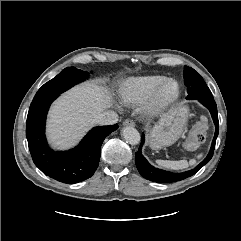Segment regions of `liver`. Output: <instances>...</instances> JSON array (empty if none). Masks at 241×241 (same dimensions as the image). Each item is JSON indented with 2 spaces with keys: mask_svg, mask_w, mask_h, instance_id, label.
I'll return each instance as SVG.
<instances>
[{
  "mask_svg": "<svg viewBox=\"0 0 241 241\" xmlns=\"http://www.w3.org/2000/svg\"><path fill=\"white\" fill-rule=\"evenodd\" d=\"M112 104L111 93L97 82L75 86L61 96L49 112L47 134L60 149L74 145Z\"/></svg>",
  "mask_w": 241,
  "mask_h": 241,
  "instance_id": "1",
  "label": "liver"
}]
</instances>
